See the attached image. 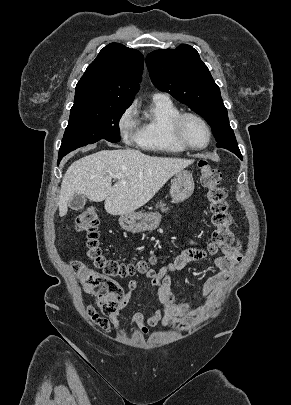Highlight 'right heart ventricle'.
I'll return each instance as SVG.
<instances>
[{"label":"right heart ventricle","instance_id":"right-heart-ventricle-1","mask_svg":"<svg viewBox=\"0 0 291 405\" xmlns=\"http://www.w3.org/2000/svg\"><path fill=\"white\" fill-rule=\"evenodd\" d=\"M181 112L169 98H153L139 122L137 144L149 151L182 153L186 149L172 136V122Z\"/></svg>","mask_w":291,"mask_h":405}]
</instances>
